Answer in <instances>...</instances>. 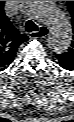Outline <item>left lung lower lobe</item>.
I'll return each instance as SVG.
<instances>
[{
  "label": "left lung lower lobe",
  "instance_id": "0a47b994",
  "mask_svg": "<svg viewBox=\"0 0 74 122\" xmlns=\"http://www.w3.org/2000/svg\"><path fill=\"white\" fill-rule=\"evenodd\" d=\"M58 63L60 64V66L66 70H73L74 71V65L72 63H68V62H65L63 60H60L58 59Z\"/></svg>",
  "mask_w": 74,
  "mask_h": 122
}]
</instances>
